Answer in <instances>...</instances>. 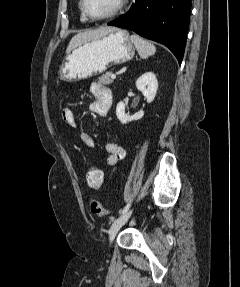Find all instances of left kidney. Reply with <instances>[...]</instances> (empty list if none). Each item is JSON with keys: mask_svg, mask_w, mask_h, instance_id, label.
<instances>
[{"mask_svg": "<svg viewBox=\"0 0 240 287\" xmlns=\"http://www.w3.org/2000/svg\"><path fill=\"white\" fill-rule=\"evenodd\" d=\"M136 87L142 92L147 100V103H151L158 90V81L153 72H146L142 74L136 81ZM116 115L122 124H127L134 120H139L144 116V111L141 110L134 115L130 116L125 113V104L120 101L116 107Z\"/></svg>", "mask_w": 240, "mask_h": 287, "instance_id": "obj_1", "label": "left kidney"}]
</instances>
